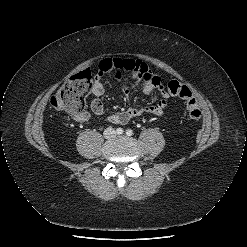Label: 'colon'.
Returning a JSON list of instances; mask_svg holds the SVG:
<instances>
[{"mask_svg":"<svg viewBox=\"0 0 247 247\" xmlns=\"http://www.w3.org/2000/svg\"><path fill=\"white\" fill-rule=\"evenodd\" d=\"M91 78L89 70H83L69 78L52 96L50 100L51 107L55 110L66 111L73 116L83 112L92 90ZM166 89L171 96L180 97L185 101L188 115L192 120L200 119V105L186 85L172 80L167 84Z\"/></svg>","mask_w":247,"mask_h":247,"instance_id":"5ec220e1","label":"colon"}]
</instances>
